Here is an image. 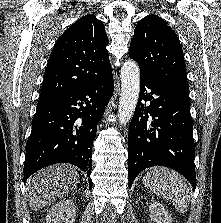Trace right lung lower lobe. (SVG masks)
<instances>
[{"instance_id": "right-lung-lower-lobe-1", "label": "right lung lower lobe", "mask_w": 221, "mask_h": 223, "mask_svg": "<svg viewBox=\"0 0 221 223\" xmlns=\"http://www.w3.org/2000/svg\"><path fill=\"white\" fill-rule=\"evenodd\" d=\"M111 71L71 92L38 102L26 144L24 182L39 169L61 162L74 164L90 176L97 123L113 93Z\"/></svg>"}]
</instances>
